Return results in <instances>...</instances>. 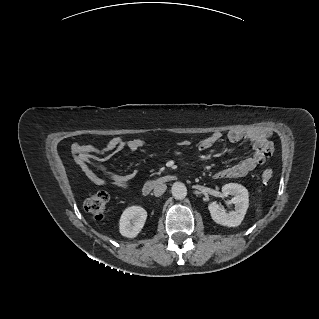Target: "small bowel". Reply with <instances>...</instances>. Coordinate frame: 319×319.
<instances>
[{"label": "small bowel", "mask_w": 319, "mask_h": 319, "mask_svg": "<svg viewBox=\"0 0 319 319\" xmlns=\"http://www.w3.org/2000/svg\"><path fill=\"white\" fill-rule=\"evenodd\" d=\"M268 131L260 134H251L240 130H230L227 138L230 142H240L248 140L253 144V152L250 156L231 166L220 169L214 174V178H238L247 175L257 166L263 164L267 156L262 152L261 146L268 140ZM222 138L220 132H214L202 139L197 144V150L206 152L210 150ZM188 140H181L175 150V154H181L182 149L189 146ZM148 143L141 139L124 140L121 137H114L103 146L74 144L73 154L77 165L86 177L96 185L112 184L120 188H126L134 178V173L116 174L108 171L101 163L109 159L112 155L127 149L129 151L145 150Z\"/></svg>", "instance_id": "small-bowel-1"}]
</instances>
